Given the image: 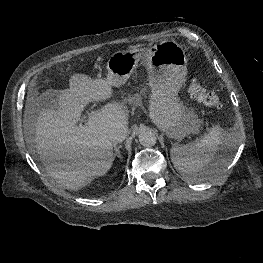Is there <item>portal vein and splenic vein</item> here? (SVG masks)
I'll return each mask as SVG.
<instances>
[{"mask_svg":"<svg viewBox=\"0 0 263 263\" xmlns=\"http://www.w3.org/2000/svg\"><path fill=\"white\" fill-rule=\"evenodd\" d=\"M95 113H96V112H95L94 110H92V111L90 112V114H89V117H88V120H87V121H90V120L94 117ZM77 128H78L79 130H84V129H85V126L82 125V124H80L79 126H77Z\"/></svg>","mask_w":263,"mask_h":263,"instance_id":"obj_1","label":"portal vein and splenic vein"}]
</instances>
